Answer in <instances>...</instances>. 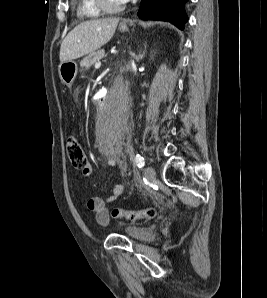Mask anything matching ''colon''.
Returning a JSON list of instances; mask_svg holds the SVG:
<instances>
[{"instance_id":"obj_1","label":"colon","mask_w":267,"mask_h":298,"mask_svg":"<svg viewBox=\"0 0 267 298\" xmlns=\"http://www.w3.org/2000/svg\"><path fill=\"white\" fill-rule=\"evenodd\" d=\"M66 150L71 164L84 172L87 167V155L80 141L74 136L70 137L66 144ZM112 216L116 219L124 218L130 221L151 220L156 216V211L153 208L143 210L115 208L112 210Z\"/></svg>"}]
</instances>
